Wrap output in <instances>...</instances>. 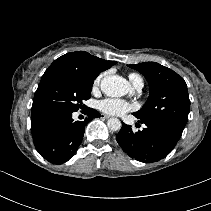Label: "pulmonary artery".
<instances>
[{"label":"pulmonary artery","mask_w":211,"mask_h":211,"mask_svg":"<svg viewBox=\"0 0 211 211\" xmlns=\"http://www.w3.org/2000/svg\"><path fill=\"white\" fill-rule=\"evenodd\" d=\"M137 90H141L143 87V83H138L137 85H135Z\"/></svg>","instance_id":"pulmonary-artery-1"}]
</instances>
